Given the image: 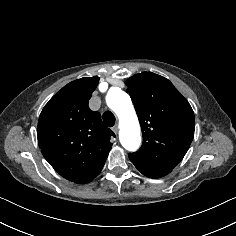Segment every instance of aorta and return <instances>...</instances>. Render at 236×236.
<instances>
[{
  "label": "aorta",
  "mask_w": 236,
  "mask_h": 236,
  "mask_svg": "<svg viewBox=\"0 0 236 236\" xmlns=\"http://www.w3.org/2000/svg\"><path fill=\"white\" fill-rule=\"evenodd\" d=\"M106 102L119 118V139L128 151H136L141 143L140 125L131 98L121 89L109 91Z\"/></svg>",
  "instance_id": "1"
}]
</instances>
